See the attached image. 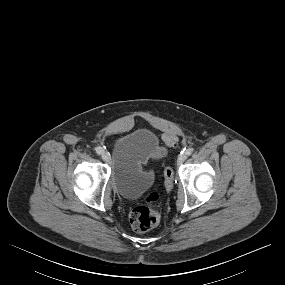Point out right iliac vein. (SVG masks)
Masks as SVG:
<instances>
[{"instance_id":"right-iliac-vein-1","label":"right iliac vein","mask_w":285,"mask_h":285,"mask_svg":"<svg viewBox=\"0 0 285 285\" xmlns=\"http://www.w3.org/2000/svg\"><path fill=\"white\" fill-rule=\"evenodd\" d=\"M102 159L104 160V161H106V162H108L109 161V155H108V153L105 151V152H103L102 153Z\"/></svg>"}]
</instances>
